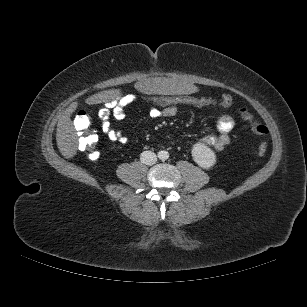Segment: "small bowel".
I'll return each mask as SVG.
<instances>
[{
    "label": "small bowel",
    "instance_id": "small-bowel-1",
    "mask_svg": "<svg viewBox=\"0 0 307 307\" xmlns=\"http://www.w3.org/2000/svg\"><path fill=\"white\" fill-rule=\"evenodd\" d=\"M137 99L135 94L128 93L119 95L107 102L99 110L98 116L101 123L102 132L113 142L125 144L128 138L122 131L113 127L111 120H123L126 117L128 107ZM178 113L177 106L165 108L150 107L149 115L152 119L170 118ZM234 127V119L228 113H221L216 122L217 133L207 135L203 142L222 151L230 142V133Z\"/></svg>",
    "mask_w": 307,
    "mask_h": 307
}]
</instances>
